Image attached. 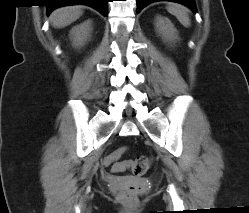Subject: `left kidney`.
<instances>
[{
	"instance_id": "1",
	"label": "left kidney",
	"mask_w": 249,
	"mask_h": 213,
	"mask_svg": "<svg viewBox=\"0 0 249 213\" xmlns=\"http://www.w3.org/2000/svg\"><path fill=\"white\" fill-rule=\"evenodd\" d=\"M155 26L164 41L175 42L179 40L177 30L168 18L157 16Z\"/></svg>"
}]
</instances>
